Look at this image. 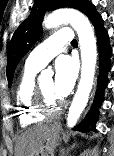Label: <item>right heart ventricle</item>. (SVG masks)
Returning <instances> with one entry per match:
<instances>
[{
	"mask_svg": "<svg viewBox=\"0 0 114 156\" xmlns=\"http://www.w3.org/2000/svg\"><path fill=\"white\" fill-rule=\"evenodd\" d=\"M41 68L25 63L17 82L15 97L16 110L22 127H27L44 119L35 105V76Z\"/></svg>",
	"mask_w": 114,
	"mask_h": 156,
	"instance_id": "1",
	"label": "right heart ventricle"
}]
</instances>
